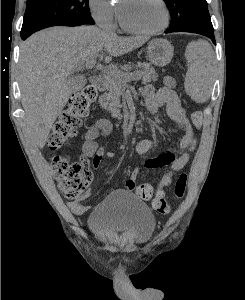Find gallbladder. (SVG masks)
Here are the masks:
<instances>
[{"label": "gallbladder", "mask_w": 245, "mask_h": 300, "mask_svg": "<svg viewBox=\"0 0 245 300\" xmlns=\"http://www.w3.org/2000/svg\"><path fill=\"white\" fill-rule=\"evenodd\" d=\"M69 89L72 93L81 90L86 84V78L82 76H69L67 79Z\"/></svg>", "instance_id": "bac80fb5"}]
</instances>
